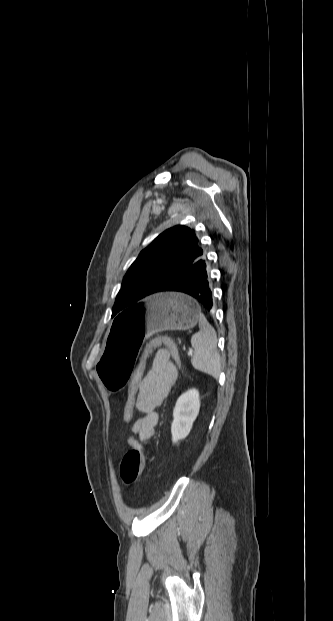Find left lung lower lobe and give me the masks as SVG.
<instances>
[{"label":"left lung lower lobe","mask_w":333,"mask_h":621,"mask_svg":"<svg viewBox=\"0 0 333 621\" xmlns=\"http://www.w3.org/2000/svg\"><path fill=\"white\" fill-rule=\"evenodd\" d=\"M183 292L201 303L207 310L213 309L211 283L207 272L206 256H203L188 270L165 283L159 292Z\"/></svg>","instance_id":"left-lung-lower-lobe-1"}]
</instances>
